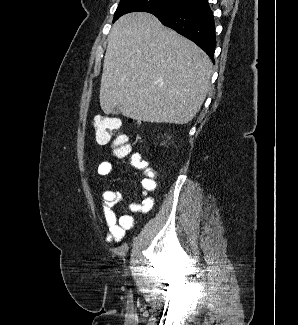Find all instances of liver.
<instances>
[{"label":"liver","instance_id":"liver-1","mask_svg":"<svg viewBox=\"0 0 298 325\" xmlns=\"http://www.w3.org/2000/svg\"><path fill=\"white\" fill-rule=\"evenodd\" d=\"M212 62L195 42L163 26L150 12L114 22L104 56L100 106L147 122L186 124L208 92Z\"/></svg>","mask_w":298,"mask_h":325}]
</instances>
